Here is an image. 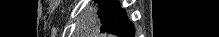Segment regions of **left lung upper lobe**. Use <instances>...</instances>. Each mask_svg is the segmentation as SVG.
I'll return each instance as SVG.
<instances>
[{
	"mask_svg": "<svg viewBox=\"0 0 219 37\" xmlns=\"http://www.w3.org/2000/svg\"><path fill=\"white\" fill-rule=\"evenodd\" d=\"M99 3L100 10L98 16L102 23L101 32H106L108 28L114 23L121 7L119 3L112 0H95Z\"/></svg>",
	"mask_w": 219,
	"mask_h": 37,
	"instance_id": "obj_1",
	"label": "left lung upper lobe"
}]
</instances>
